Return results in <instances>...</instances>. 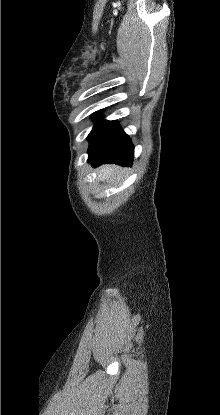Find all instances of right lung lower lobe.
<instances>
[{
	"mask_svg": "<svg viewBox=\"0 0 220 415\" xmlns=\"http://www.w3.org/2000/svg\"><path fill=\"white\" fill-rule=\"evenodd\" d=\"M88 152V161L93 167L104 163L131 166L134 158V146L116 121L108 123L97 143Z\"/></svg>",
	"mask_w": 220,
	"mask_h": 415,
	"instance_id": "right-lung-lower-lobe-1",
	"label": "right lung lower lobe"
}]
</instances>
